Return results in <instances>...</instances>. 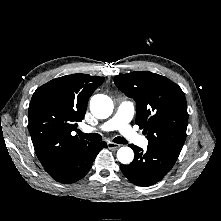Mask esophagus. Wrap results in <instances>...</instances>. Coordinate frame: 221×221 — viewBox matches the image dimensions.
<instances>
[{"mask_svg":"<svg viewBox=\"0 0 221 221\" xmlns=\"http://www.w3.org/2000/svg\"><path fill=\"white\" fill-rule=\"evenodd\" d=\"M107 146H108L109 149H118L119 147H121L120 144L113 143L111 141L107 142Z\"/></svg>","mask_w":221,"mask_h":221,"instance_id":"1","label":"esophagus"}]
</instances>
